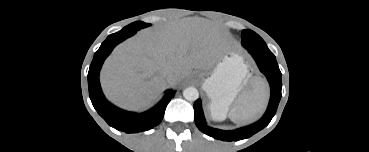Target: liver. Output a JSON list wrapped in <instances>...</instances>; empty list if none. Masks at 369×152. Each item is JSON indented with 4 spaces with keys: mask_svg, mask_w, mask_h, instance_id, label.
Segmentation results:
<instances>
[{
    "mask_svg": "<svg viewBox=\"0 0 369 152\" xmlns=\"http://www.w3.org/2000/svg\"><path fill=\"white\" fill-rule=\"evenodd\" d=\"M224 43L221 28L206 19H184L143 30L106 60L100 77L102 88L118 106L145 109L167 87L188 79L193 69L210 64ZM168 74L173 75L171 82Z\"/></svg>",
    "mask_w": 369,
    "mask_h": 152,
    "instance_id": "6515ba94",
    "label": "liver"
}]
</instances>
